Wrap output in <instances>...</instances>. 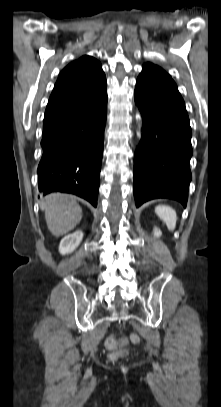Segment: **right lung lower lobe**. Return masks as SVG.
<instances>
[{
    "mask_svg": "<svg viewBox=\"0 0 221 407\" xmlns=\"http://www.w3.org/2000/svg\"><path fill=\"white\" fill-rule=\"evenodd\" d=\"M106 115V89L45 112L37 170L40 191L73 193L97 206Z\"/></svg>",
    "mask_w": 221,
    "mask_h": 407,
    "instance_id": "98d812e1",
    "label": "right lung lower lobe"
}]
</instances>
